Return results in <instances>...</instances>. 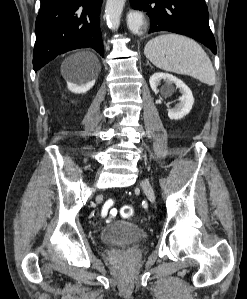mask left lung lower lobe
I'll use <instances>...</instances> for the list:
<instances>
[{
  "label": "left lung lower lobe",
  "mask_w": 247,
  "mask_h": 299,
  "mask_svg": "<svg viewBox=\"0 0 247 299\" xmlns=\"http://www.w3.org/2000/svg\"><path fill=\"white\" fill-rule=\"evenodd\" d=\"M133 9L147 11L150 32L169 31L189 36L216 54L204 0H130Z\"/></svg>",
  "instance_id": "obj_1"
}]
</instances>
